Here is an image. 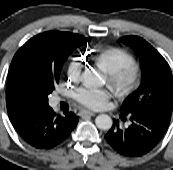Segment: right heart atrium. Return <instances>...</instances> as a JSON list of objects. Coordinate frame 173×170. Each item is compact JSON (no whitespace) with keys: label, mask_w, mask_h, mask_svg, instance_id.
Listing matches in <instances>:
<instances>
[{"label":"right heart atrium","mask_w":173,"mask_h":170,"mask_svg":"<svg viewBox=\"0 0 173 170\" xmlns=\"http://www.w3.org/2000/svg\"><path fill=\"white\" fill-rule=\"evenodd\" d=\"M79 67H80V65H79V64H74V66H73V70H78V69H79Z\"/></svg>","instance_id":"right-heart-atrium-1"}]
</instances>
